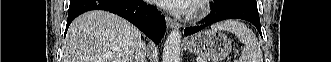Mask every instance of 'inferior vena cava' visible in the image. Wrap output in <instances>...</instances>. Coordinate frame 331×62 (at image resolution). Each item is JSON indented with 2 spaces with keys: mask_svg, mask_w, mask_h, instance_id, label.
Returning a JSON list of instances; mask_svg holds the SVG:
<instances>
[{
  "mask_svg": "<svg viewBox=\"0 0 331 62\" xmlns=\"http://www.w3.org/2000/svg\"><path fill=\"white\" fill-rule=\"evenodd\" d=\"M135 62H146V46L142 41L136 46Z\"/></svg>",
  "mask_w": 331,
  "mask_h": 62,
  "instance_id": "obj_1",
  "label": "inferior vena cava"
}]
</instances>
